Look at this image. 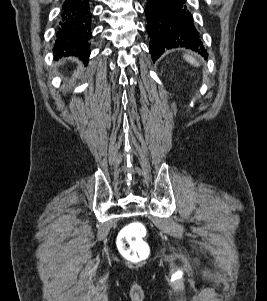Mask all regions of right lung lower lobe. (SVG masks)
Wrapping results in <instances>:
<instances>
[{"instance_id": "right-lung-lower-lobe-1", "label": "right lung lower lobe", "mask_w": 267, "mask_h": 301, "mask_svg": "<svg viewBox=\"0 0 267 301\" xmlns=\"http://www.w3.org/2000/svg\"><path fill=\"white\" fill-rule=\"evenodd\" d=\"M91 11L89 0H65L54 44L55 58L76 56L85 62L90 55Z\"/></svg>"}]
</instances>
